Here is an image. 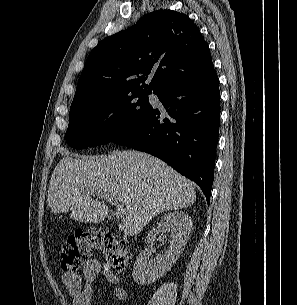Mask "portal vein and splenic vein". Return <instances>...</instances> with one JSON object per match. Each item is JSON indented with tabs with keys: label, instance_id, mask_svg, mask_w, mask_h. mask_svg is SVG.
I'll return each instance as SVG.
<instances>
[{
	"label": "portal vein and splenic vein",
	"instance_id": "1",
	"mask_svg": "<svg viewBox=\"0 0 297 305\" xmlns=\"http://www.w3.org/2000/svg\"><path fill=\"white\" fill-rule=\"evenodd\" d=\"M97 196H99L101 198H104V199H106L109 202L113 201V197H111L109 194H106V193L105 194H97ZM115 215L118 218H123L125 216V208H124V206H122V205L116 206V208H115Z\"/></svg>",
	"mask_w": 297,
	"mask_h": 305
}]
</instances>
